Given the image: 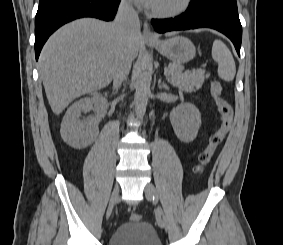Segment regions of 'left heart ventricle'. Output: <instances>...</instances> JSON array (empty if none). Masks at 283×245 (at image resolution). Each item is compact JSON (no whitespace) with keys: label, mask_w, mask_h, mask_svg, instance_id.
I'll list each match as a JSON object with an SVG mask.
<instances>
[{"label":"left heart ventricle","mask_w":283,"mask_h":245,"mask_svg":"<svg viewBox=\"0 0 283 245\" xmlns=\"http://www.w3.org/2000/svg\"><path fill=\"white\" fill-rule=\"evenodd\" d=\"M180 0H155L152 7L158 9H168L176 6Z\"/></svg>","instance_id":"obj_1"}]
</instances>
